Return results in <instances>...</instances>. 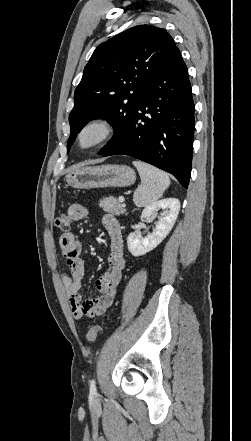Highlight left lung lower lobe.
Returning a JSON list of instances; mask_svg holds the SVG:
<instances>
[{
	"instance_id": "1",
	"label": "left lung lower lobe",
	"mask_w": 251,
	"mask_h": 441,
	"mask_svg": "<svg viewBox=\"0 0 251 441\" xmlns=\"http://www.w3.org/2000/svg\"><path fill=\"white\" fill-rule=\"evenodd\" d=\"M146 90V97L127 123L115 130L99 154H123L145 161L171 173L187 188L195 106L188 70L178 48Z\"/></svg>"
}]
</instances>
